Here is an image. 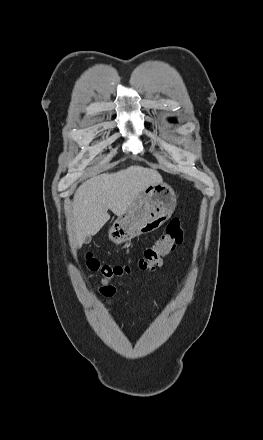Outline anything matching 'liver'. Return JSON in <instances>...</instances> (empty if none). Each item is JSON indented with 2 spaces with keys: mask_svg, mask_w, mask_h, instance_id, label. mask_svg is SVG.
Wrapping results in <instances>:
<instances>
[{
  "mask_svg": "<svg viewBox=\"0 0 263 440\" xmlns=\"http://www.w3.org/2000/svg\"><path fill=\"white\" fill-rule=\"evenodd\" d=\"M160 182L157 171L136 165L84 182L74 195L69 219L72 248H81L84 237L99 232L110 219L108 210L118 217L124 215L140 192Z\"/></svg>",
  "mask_w": 263,
  "mask_h": 440,
  "instance_id": "liver-1",
  "label": "liver"
}]
</instances>
